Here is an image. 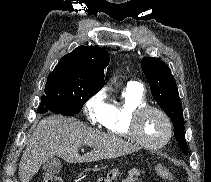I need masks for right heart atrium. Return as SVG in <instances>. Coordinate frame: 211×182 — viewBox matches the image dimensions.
Instances as JSON below:
<instances>
[{
	"mask_svg": "<svg viewBox=\"0 0 211 182\" xmlns=\"http://www.w3.org/2000/svg\"><path fill=\"white\" fill-rule=\"evenodd\" d=\"M106 93L101 90L91 96L84 104L88 121L93 125H101L108 111Z\"/></svg>",
	"mask_w": 211,
	"mask_h": 182,
	"instance_id": "obj_1",
	"label": "right heart atrium"
}]
</instances>
